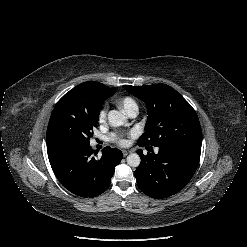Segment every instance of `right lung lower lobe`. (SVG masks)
Returning <instances> with one entry per match:
<instances>
[{
  "label": "right lung lower lobe",
  "instance_id": "obj_1",
  "mask_svg": "<svg viewBox=\"0 0 247 247\" xmlns=\"http://www.w3.org/2000/svg\"><path fill=\"white\" fill-rule=\"evenodd\" d=\"M91 146H59L48 150L52 170L59 182L80 197H96L108 189L115 167L122 160L119 149L105 147L95 157Z\"/></svg>",
  "mask_w": 247,
  "mask_h": 247
}]
</instances>
